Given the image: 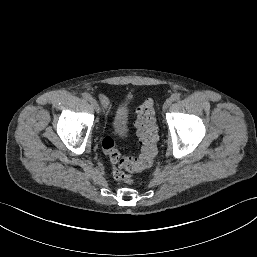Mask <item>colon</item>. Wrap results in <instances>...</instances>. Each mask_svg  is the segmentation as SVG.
<instances>
[{
    "instance_id": "1",
    "label": "colon",
    "mask_w": 257,
    "mask_h": 257,
    "mask_svg": "<svg viewBox=\"0 0 257 257\" xmlns=\"http://www.w3.org/2000/svg\"><path fill=\"white\" fill-rule=\"evenodd\" d=\"M136 127L141 143V153L138 156L122 155L116 147L114 139L110 136L102 140V148L113 167L112 173L114 178L125 183L132 182V179L126 172H140L149 168L153 164L158 152V130L151 100H146L139 107Z\"/></svg>"
}]
</instances>
